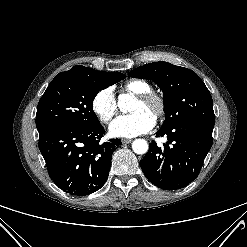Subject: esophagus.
Listing matches in <instances>:
<instances>
[{
    "instance_id": "esophagus-1",
    "label": "esophagus",
    "mask_w": 247,
    "mask_h": 247,
    "mask_svg": "<svg viewBox=\"0 0 247 247\" xmlns=\"http://www.w3.org/2000/svg\"><path fill=\"white\" fill-rule=\"evenodd\" d=\"M132 142V139H122V143L123 144H128V143H131Z\"/></svg>"
}]
</instances>
